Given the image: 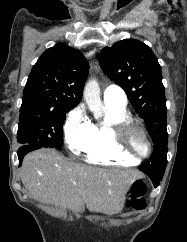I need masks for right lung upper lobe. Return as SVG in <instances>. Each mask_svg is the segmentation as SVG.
<instances>
[{
  "instance_id": "1",
  "label": "right lung upper lobe",
  "mask_w": 187,
  "mask_h": 242,
  "mask_svg": "<svg viewBox=\"0 0 187 242\" xmlns=\"http://www.w3.org/2000/svg\"><path fill=\"white\" fill-rule=\"evenodd\" d=\"M89 65L83 54L64 43L47 49L33 66L20 110H71L79 104Z\"/></svg>"
}]
</instances>
